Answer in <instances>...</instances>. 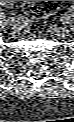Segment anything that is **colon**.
I'll return each instance as SVG.
<instances>
[{
    "instance_id": "colon-1",
    "label": "colon",
    "mask_w": 74,
    "mask_h": 122,
    "mask_svg": "<svg viewBox=\"0 0 74 122\" xmlns=\"http://www.w3.org/2000/svg\"><path fill=\"white\" fill-rule=\"evenodd\" d=\"M60 1H26L24 11L31 16H43L56 10Z\"/></svg>"
}]
</instances>
